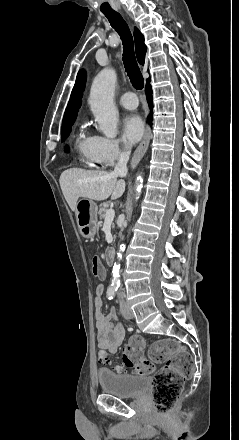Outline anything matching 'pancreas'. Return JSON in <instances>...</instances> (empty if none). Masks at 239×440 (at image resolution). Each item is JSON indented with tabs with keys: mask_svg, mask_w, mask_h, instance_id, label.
<instances>
[{
	"mask_svg": "<svg viewBox=\"0 0 239 440\" xmlns=\"http://www.w3.org/2000/svg\"><path fill=\"white\" fill-rule=\"evenodd\" d=\"M107 208H109L108 202H105V206H100L99 208V220H105ZM112 228H115V224H112Z\"/></svg>",
	"mask_w": 239,
	"mask_h": 440,
	"instance_id": "pancreas-1",
	"label": "pancreas"
}]
</instances>
